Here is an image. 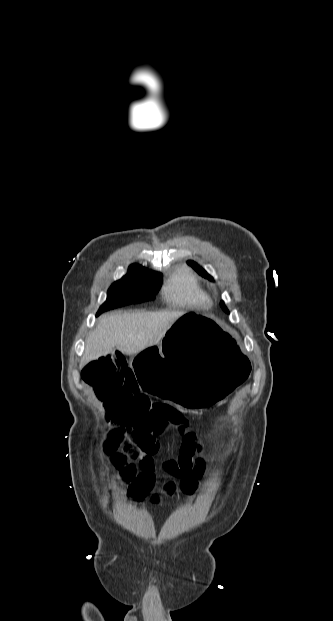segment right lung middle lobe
I'll return each instance as SVG.
<instances>
[{"label": "right lung middle lobe", "instance_id": "obj_1", "mask_svg": "<svg viewBox=\"0 0 333 621\" xmlns=\"http://www.w3.org/2000/svg\"><path fill=\"white\" fill-rule=\"evenodd\" d=\"M160 277L161 273L131 265L128 273L111 285L97 315L128 304L154 300L160 289Z\"/></svg>", "mask_w": 333, "mask_h": 621}]
</instances>
